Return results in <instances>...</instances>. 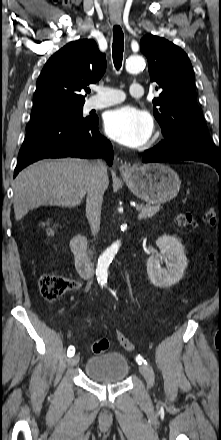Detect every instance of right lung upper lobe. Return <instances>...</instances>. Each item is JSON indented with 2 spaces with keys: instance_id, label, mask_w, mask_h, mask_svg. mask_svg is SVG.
I'll list each match as a JSON object with an SVG mask.
<instances>
[{
  "instance_id": "cb5924a9",
  "label": "right lung upper lobe",
  "mask_w": 221,
  "mask_h": 440,
  "mask_svg": "<svg viewBox=\"0 0 221 440\" xmlns=\"http://www.w3.org/2000/svg\"><path fill=\"white\" fill-rule=\"evenodd\" d=\"M106 70L105 54L92 39L72 41L45 64L37 80L33 110L54 106H79L81 94L90 83H96Z\"/></svg>"
}]
</instances>
